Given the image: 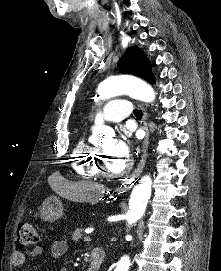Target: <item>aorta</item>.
<instances>
[{"label":"aorta","mask_w":221,"mask_h":271,"mask_svg":"<svg viewBox=\"0 0 221 271\" xmlns=\"http://www.w3.org/2000/svg\"><path fill=\"white\" fill-rule=\"evenodd\" d=\"M98 95L102 99L111 98L121 94H127L135 99L143 102H153L155 92L153 88L143 81L132 79L125 76H117L109 78L101 82L97 89ZM98 126L94 131L100 133L110 132V128L103 125L101 115L96 117ZM152 180L149 175L142 177L134 186L129 200V209L126 214L128 225L136 223L145 213L148 201L151 196ZM130 267V257L124 255L120 258L115 268V271H128Z\"/></svg>","instance_id":"obj_1"}]
</instances>
